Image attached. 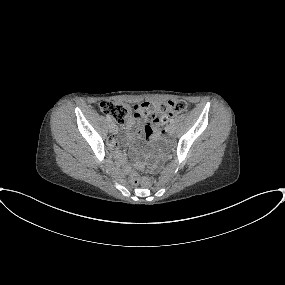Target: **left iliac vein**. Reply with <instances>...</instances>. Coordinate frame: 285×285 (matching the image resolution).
<instances>
[{"instance_id": "1", "label": "left iliac vein", "mask_w": 285, "mask_h": 285, "mask_svg": "<svg viewBox=\"0 0 285 285\" xmlns=\"http://www.w3.org/2000/svg\"><path fill=\"white\" fill-rule=\"evenodd\" d=\"M166 132L169 134V135H172L174 133V128L172 125H168L167 128H166Z\"/></svg>"}]
</instances>
